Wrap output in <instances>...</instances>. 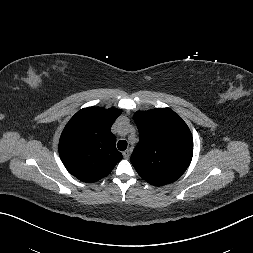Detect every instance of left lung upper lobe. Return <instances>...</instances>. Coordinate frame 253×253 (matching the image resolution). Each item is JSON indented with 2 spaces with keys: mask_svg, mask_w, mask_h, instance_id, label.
<instances>
[{
  "mask_svg": "<svg viewBox=\"0 0 253 253\" xmlns=\"http://www.w3.org/2000/svg\"><path fill=\"white\" fill-rule=\"evenodd\" d=\"M134 121L139 142L131 156L133 167L154 186L176 181L193 156V138L186 123L170 108L138 111Z\"/></svg>",
  "mask_w": 253,
  "mask_h": 253,
  "instance_id": "left-lung-upper-lobe-1",
  "label": "left lung upper lobe"
}]
</instances>
